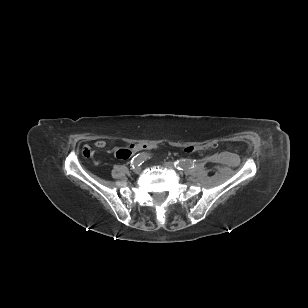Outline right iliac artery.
Returning <instances> with one entry per match:
<instances>
[{
  "label": "right iliac artery",
  "instance_id": "82829eb1",
  "mask_svg": "<svg viewBox=\"0 0 308 308\" xmlns=\"http://www.w3.org/2000/svg\"><path fill=\"white\" fill-rule=\"evenodd\" d=\"M150 158V154L148 153H139L136 156H134L131 160V165L134 168V166H140L144 161Z\"/></svg>",
  "mask_w": 308,
  "mask_h": 308
}]
</instances>
